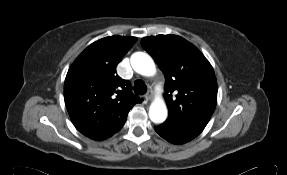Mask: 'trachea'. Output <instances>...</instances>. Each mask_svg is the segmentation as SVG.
I'll list each match as a JSON object with an SVG mask.
<instances>
[{"instance_id":"1","label":"trachea","mask_w":287,"mask_h":175,"mask_svg":"<svg viewBox=\"0 0 287 175\" xmlns=\"http://www.w3.org/2000/svg\"><path fill=\"white\" fill-rule=\"evenodd\" d=\"M134 92L139 95H143L147 92V86L144 81L136 80L134 83Z\"/></svg>"}]
</instances>
